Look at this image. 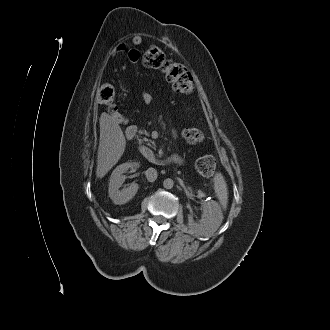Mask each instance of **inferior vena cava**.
I'll use <instances>...</instances> for the list:
<instances>
[{"label":"inferior vena cava","mask_w":330,"mask_h":330,"mask_svg":"<svg viewBox=\"0 0 330 330\" xmlns=\"http://www.w3.org/2000/svg\"><path fill=\"white\" fill-rule=\"evenodd\" d=\"M145 175L147 177V180L149 182H154L157 179V170L154 168H148L145 172Z\"/></svg>","instance_id":"obj_1"}]
</instances>
